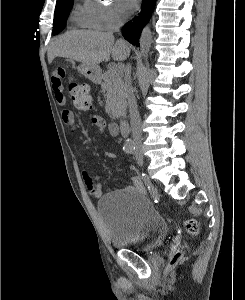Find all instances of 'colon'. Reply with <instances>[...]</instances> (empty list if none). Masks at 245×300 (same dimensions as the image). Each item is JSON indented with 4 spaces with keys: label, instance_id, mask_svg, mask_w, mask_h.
Returning <instances> with one entry per match:
<instances>
[{
    "label": "colon",
    "instance_id": "colon-1",
    "mask_svg": "<svg viewBox=\"0 0 245 300\" xmlns=\"http://www.w3.org/2000/svg\"><path fill=\"white\" fill-rule=\"evenodd\" d=\"M61 79H65L69 86L70 95L75 108L83 113L90 112L92 108V96L90 94L89 87L77 81L76 77L62 69L58 68L55 72ZM185 229L190 235H197L199 232V224L194 219H189L185 222ZM181 257V253H177L171 260L170 266L176 264Z\"/></svg>",
    "mask_w": 245,
    "mask_h": 300
}]
</instances>
